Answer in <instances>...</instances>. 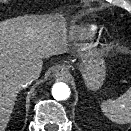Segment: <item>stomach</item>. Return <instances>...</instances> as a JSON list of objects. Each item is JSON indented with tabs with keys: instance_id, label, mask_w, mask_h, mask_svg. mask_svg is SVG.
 <instances>
[{
	"instance_id": "stomach-1",
	"label": "stomach",
	"mask_w": 131,
	"mask_h": 131,
	"mask_svg": "<svg viewBox=\"0 0 131 131\" xmlns=\"http://www.w3.org/2000/svg\"><path fill=\"white\" fill-rule=\"evenodd\" d=\"M81 73L85 84L90 90H98L104 83L106 66L100 56H91L83 61Z\"/></svg>"
}]
</instances>
